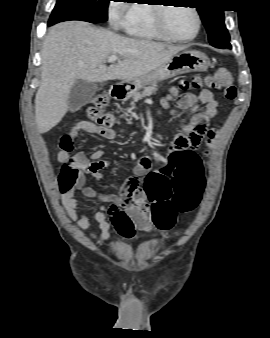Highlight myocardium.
<instances>
[{"mask_svg": "<svg viewBox=\"0 0 270 338\" xmlns=\"http://www.w3.org/2000/svg\"><path fill=\"white\" fill-rule=\"evenodd\" d=\"M152 6H153L154 26L156 30L166 39L174 41V42L184 43V42L192 41L198 36L200 29H201V18L196 8L188 7L189 9L193 11V13L196 16V30L194 34L190 37L180 38V37L174 36L169 31L166 25L165 12L168 8L173 7V6H168V5H152Z\"/></svg>", "mask_w": 270, "mask_h": 338, "instance_id": "myocardium-1", "label": "myocardium"}]
</instances>
